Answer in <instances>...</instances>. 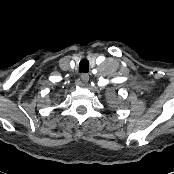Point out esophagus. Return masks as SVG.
<instances>
[{
    "label": "esophagus",
    "mask_w": 174,
    "mask_h": 174,
    "mask_svg": "<svg viewBox=\"0 0 174 174\" xmlns=\"http://www.w3.org/2000/svg\"><path fill=\"white\" fill-rule=\"evenodd\" d=\"M80 77H81V80H82L83 83H87L89 81V78H90L87 73L81 74Z\"/></svg>",
    "instance_id": "1"
}]
</instances>
